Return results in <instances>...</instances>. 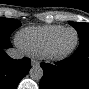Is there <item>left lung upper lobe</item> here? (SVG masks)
Here are the masks:
<instances>
[{"label":"left lung upper lobe","mask_w":89,"mask_h":89,"mask_svg":"<svg viewBox=\"0 0 89 89\" xmlns=\"http://www.w3.org/2000/svg\"><path fill=\"white\" fill-rule=\"evenodd\" d=\"M71 26H73L79 35L80 40L88 39L89 40V24L88 23H79V22H68Z\"/></svg>","instance_id":"5c2ea615"}]
</instances>
